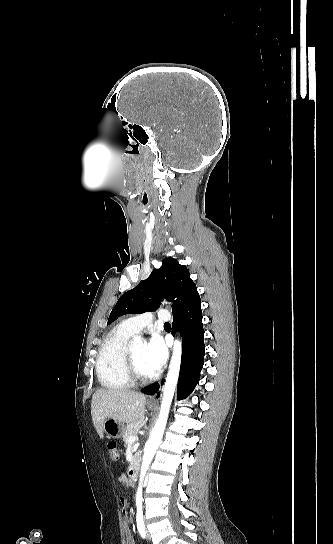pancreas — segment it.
<instances>
[{"mask_svg":"<svg viewBox=\"0 0 333 544\" xmlns=\"http://www.w3.org/2000/svg\"><path fill=\"white\" fill-rule=\"evenodd\" d=\"M141 424H142V420H138L126 427L122 436L125 443H128L127 441L129 437L136 435L138 433V429L141 427ZM135 457L136 455L133 457V459H135Z\"/></svg>","mask_w":333,"mask_h":544,"instance_id":"obj_1","label":"pancreas"}]
</instances>
